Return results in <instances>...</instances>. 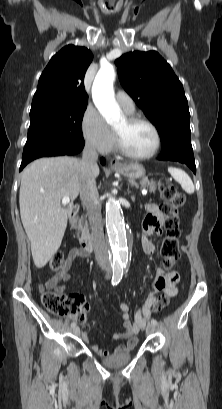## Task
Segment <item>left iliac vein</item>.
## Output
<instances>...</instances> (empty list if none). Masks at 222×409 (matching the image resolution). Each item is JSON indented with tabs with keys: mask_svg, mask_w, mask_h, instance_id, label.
Returning a JSON list of instances; mask_svg holds the SVG:
<instances>
[{
	"mask_svg": "<svg viewBox=\"0 0 222 409\" xmlns=\"http://www.w3.org/2000/svg\"><path fill=\"white\" fill-rule=\"evenodd\" d=\"M155 330H156V326L153 325L152 323H149V324L147 325V328H146L147 334H152V333L155 332Z\"/></svg>",
	"mask_w": 222,
	"mask_h": 409,
	"instance_id": "1",
	"label": "left iliac vein"
}]
</instances>
